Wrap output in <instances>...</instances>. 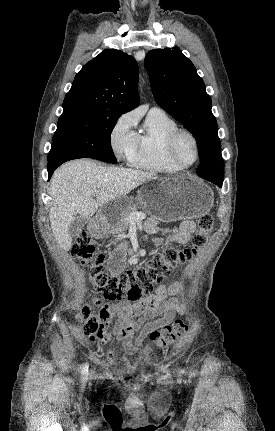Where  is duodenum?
Masks as SVG:
<instances>
[{
  "mask_svg": "<svg viewBox=\"0 0 275 431\" xmlns=\"http://www.w3.org/2000/svg\"><path fill=\"white\" fill-rule=\"evenodd\" d=\"M92 232L96 236H100L102 233V222L98 220L93 226H92Z\"/></svg>",
  "mask_w": 275,
  "mask_h": 431,
  "instance_id": "410a0bca",
  "label": "duodenum"
}]
</instances>
